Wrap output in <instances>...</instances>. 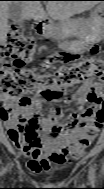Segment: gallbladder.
Listing matches in <instances>:
<instances>
[{
	"instance_id": "gallbladder-1",
	"label": "gallbladder",
	"mask_w": 104,
	"mask_h": 189,
	"mask_svg": "<svg viewBox=\"0 0 104 189\" xmlns=\"http://www.w3.org/2000/svg\"><path fill=\"white\" fill-rule=\"evenodd\" d=\"M9 13H10V17L12 18V20L15 23H19L20 24V18L22 16V9L18 4H10L9 5ZM20 31L21 33H23L25 31V28L23 25H20Z\"/></svg>"
}]
</instances>
